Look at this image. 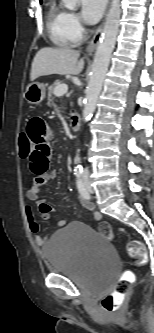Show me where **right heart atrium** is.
<instances>
[{
  "mask_svg": "<svg viewBox=\"0 0 154 333\" xmlns=\"http://www.w3.org/2000/svg\"><path fill=\"white\" fill-rule=\"evenodd\" d=\"M66 23L69 34L73 40L75 42L80 41L85 34V28L81 22L80 17L76 13L68 12Z\"/></svg>",
  "mask_w": 154,
  "mask_h": 333,
  "instance_id": "d8ad5b80",
  "label": "right heart atrium"
}]
</instances>
